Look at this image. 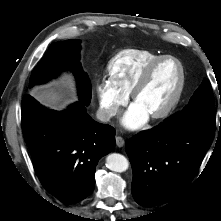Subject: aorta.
<instances>
[{"label":"aorta","instance_id":"obj_1","mask_svg":"<svg viewBox=\"0 0 221 221\" xmlns=\"http://www.w3.org/2000/svg\"><path fill=\"white\" fill-rule=\"evenodd\" d=\"M106 165L111 171L121 173L128 169L129 163L125 156L112 153L107 156Z\"/></svg>","mask_w":221,"mask_h":221}]
</instances>
